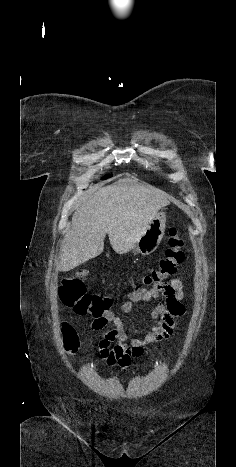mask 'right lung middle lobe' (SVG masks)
I'll return each instance as SVG.
<instances>
[{
  "label": "right lung middle lobe",
  "instance_id": "obj_1",
  "mask_svg": "<svg viewBox=\"0 0 236 467\" xmlns=\"http://www.w3.org/2000/svg\"><path fill=\"white\" fill-rule=\"evenodd\" d=\"M111 176H112L111 174H109V175H106V176H104V178H103V179H107V178H109V177H111Z\"/></svg>",
  "mask_w": 236,
  "mask_h": 467
}]
</instances>
